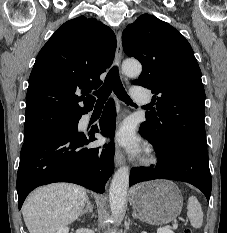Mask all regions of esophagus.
<instances>
[{"label": "esophagus", "mask_w": 227, "mask_h": 233, "mask_svg": "<svg viewBox=\"0 0 227 233\" xmlns=\"http://www.w3.org/2000/svg\"><path fill=\"white\" fill-rule=\"evenodd\" d=\"M123 57V48H122V33L119 31L117 33V48H116V55H115V63L120 65L121 60ZM125 163L124 154L119 146L116 147L115 150V165L116 167L121 166Z\"/></svg>", "instance_id": "esophagus-1"}]
</instances>
